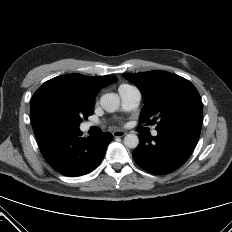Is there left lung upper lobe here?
I'll use <instances>...</instances> for the list:
<instances>
[{
  "instance_id": "1",
  "label": "left lung upper lobe",
  "mask_w": 232,
  "mask_h": 232,
  "mask_svg": "<svg viewBox=\"0 0 232 232\" xmlns=\"http://www.w3.org/2000/svg\"><path fill=\"white\" fill-rule=\"evenodd\" d=\"M141 91L146 103L139 121L157 128L178 124H202L203 110L200 95L194 85L176 74L154 70L123 75Z\"/></svg>"
}]
</instances>
